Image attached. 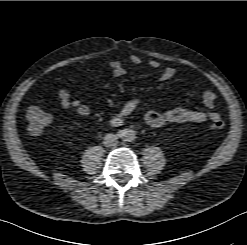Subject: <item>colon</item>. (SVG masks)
Returning <instances> with one entry per match:
<instances>
[{"label": "colon", "instance_id": "obj_1", "mask_svg": "<svg viewBox=\"0 0 247 245\" xmlns=\"http://www.w3.org/2000/svg\"><path fill=\"white\" fill-rule=\"evenodd\" d=\"M26 118L28 129L32 134H40L51 122L50 116L37 106L28 109ZM224 127L225 123L221 119H218L212 123L211 129L213 131H221Z\"/></svg>", "mask_w": 247, "mask_h": 245}]
</instances>
